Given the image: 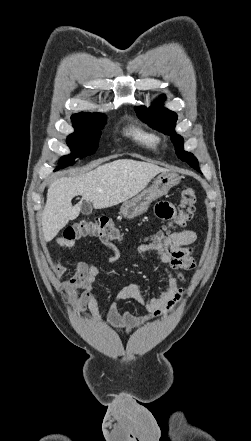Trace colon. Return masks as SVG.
Segmentation results:
<instances>
[{
	"mask_svg": "<svg viewBox=\"0 0 251 441\" xmlns=\"http://www.w3.org/2000/svg\"><path fill=\"white\" fill-rule=\"evenodd\" d=\"M196 203V193L192 187H187L182 190L180 200L177 207V213L162 230L157 232L153 238V243H162L170 235V229L175 227H182L188 223L194 215ZM96 237L102 241L115 242L122 238L120 230L116 225L106 217H99L95 219L80 220L69 226L64 232V239L66 241H74L81 238Z\"/></svg>",
	"mask_w": 251,
	"mask_h": 441,
	"instance_id": "obj_1",
	"label": "colon"
}]
</instances>
